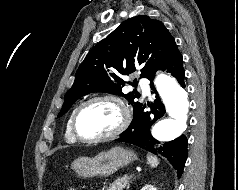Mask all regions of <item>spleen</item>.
<instances>
[{
	"label": "spleen",
	"mask_w": 238,
	"mask_h": 190,
	"mask_svg": "<svg viewBox=\"0 0 238 190\" xmlns=\"http://www.w3.org/2000/svg\"><path fill=\"white\" fill-rule=\"evenodd\" d=\"M147 161H148V164L150 165L151 168H155L159 164L158 158L151 155V154L147 155Z\"/></svg>",
	"instance_id": "3e777b00"
}]
</instances>
